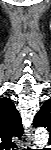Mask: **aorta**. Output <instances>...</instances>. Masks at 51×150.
<instances>
[{
  "label": "aorta",
  "instance_id": "762f6f07",
  "mask_svg": "<svg viewBox=\"0 0 51 150\" xmlns=\"http://www.w3.org/2000/svg\"><path fill=\"white\" fill-rule=\"evenodd\" d=\"M49 134L45 128H38L35 131L34 139L38 147H43L48 142Z\"/></svg>",
  "mask_w": 51,
  "mask_h": 150
}]
</instances>
